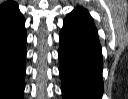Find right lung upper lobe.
Returning <instances> with one entry per match:
<instances>
[{"label": "right lung upper lobe", "mask_w": 128, "mask_h": 99, "mask_svg": "<svg viewBox=\"0 0 128 99\" xmlns=\"http://www.w3.org/2000/svg\"><path fill=\"white\" fill-rule=\"evenodd\" d=\"M15 5H16V3L11 2V1H8V2L0 5V13L9 9V8H11V7H13V6H15Z\"/></svg>", "instance_id": "1"}]
</instances>
